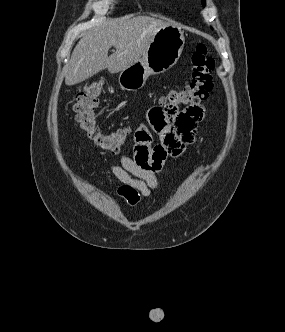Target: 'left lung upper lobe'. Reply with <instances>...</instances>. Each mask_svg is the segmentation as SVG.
<instances>
[{"mask_svg": "<svg viewBox=\"0 0 285 332\" xmlns=\"http://www.w3.org/2000/svg\"><path fill=\"white\" fill-rule=\"evenodd\" d=\"M202 4H203V6H205V5H206V2H205V0H202Z\"/></svg>", "mask_w": 285, "mask_h": 332, "instance_id": "5c2ea615", "label": "left lung upper lobe"}]
</instances>
